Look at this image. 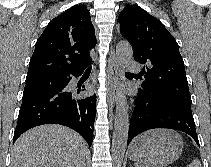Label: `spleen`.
Here are the masks:
<instances>
[{
  "label": "spleen",
  "mask_w": 211,
  "mask_h": 167,
  "mask_svg": "<svg viewBox=\"0 0 211 167\" xmlns=\"http://www.w3.org/2000/svg\"><path fill=\"white\" fill-rule=\"evenodd\" d=\"M187 167H201V162L195 158Z\"/></svg>",
  "instance_id": "3e777b00"
}]
</instances>
